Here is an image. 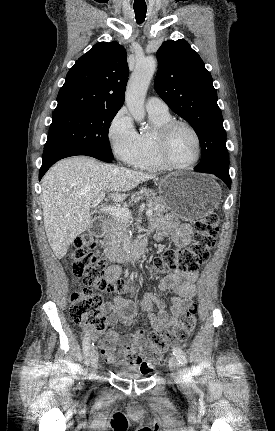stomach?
Segmentation results:
<instances>
[{
    "instance_id": "1",
    "label": "stomach",
    "mask_w": 275,
    "mask_h": 431,
    "mask_svg": "<svg viewBox=\"0 0 275 431\" xmlns=\"http://www.w3.org/2000/svg\"><path fill=\"white\" fill-rule=\"evenodd\" d=\"M158 191L168 208L186 221H195L211 214L221 197L217 183L199 173L168 175L160 181Z\"/></svg>"
}]
</instances>
